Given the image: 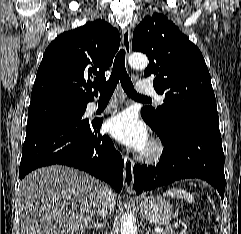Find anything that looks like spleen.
I'll use <instances>...</instances> for the list:
<instances>
[{
  "label": "spleen",
  "mask_w": 241,
  "mask_h": 234,
  "mask_svg": "<svg viewBox=\"0 0 241 234\" xmlns=\"http://www.w3.org/2000/svg\"><path fill=\"white\" fill-rule=\"evenodd\" d=\"M164 196H170V197H175L178 199H184L189 203H193L194 202V197L188 193L187 191H185L184 189L181 188H173V189H169L166 192H164L163 194Z\"/></svg>",
  "instance_id": "1"
}]
</instances>
